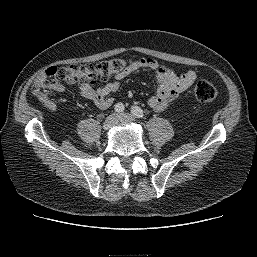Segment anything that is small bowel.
I'll return each instance as SVG.
<instances>
[{
	"mask_svg": "<svg viewBox=\"0 0 257 257\" xmlns=\"http://www.w3.org/2000/svg\"><path fill=\"white\" fill-rule=\"evenodd\" d=\"M140 69L154 72L153 80L158 88L156 93L149 98L148 105L157 112L164 111L196 80V73L192 70L177 73L168 67L160 66L155 59L140 58L133 62L125 72L116 75L113 81L99 83L95 86H81L79 94L81 97L93 101L100 109H107L114 101L113 94L119 88L120 81ZM54 90L61 93L65 88L58 84Z\"/></svg>",
	"mask_w": 257,
	"mask_h": 257,
	"instance_id": "obj_1",
	"label": "small bowel"
}]
</instances>
